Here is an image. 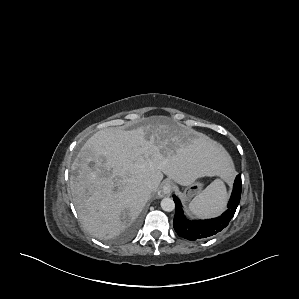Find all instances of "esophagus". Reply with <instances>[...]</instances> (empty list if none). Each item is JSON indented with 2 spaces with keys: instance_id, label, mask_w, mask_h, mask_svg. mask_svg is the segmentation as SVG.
<instances>
[{
  "instance_id": "esophagus-1",
  "label": "esophagus",
  "mask_w": 299,
  "mask_h": 299,
  "mask_svg": "<svg viewBox=\"0 0 299 299\" xmlns=\"http://www.w3.org/2000/svg\"><path fill=\"white\" fill-rule=\"evenodd\" d=\"M173 189V184L171 181L167 180L162 184V187L159 191L160 197L170 195Z\"/></svg>"
}]
</instances>
